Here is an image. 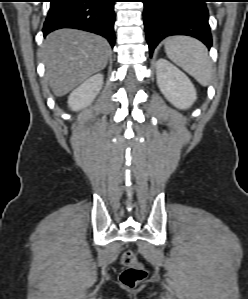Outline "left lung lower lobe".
<instances>
[{"mask_svg":"<svg viewBox=\"0 0 248 299\" xmlns=\"http://www.w3.org/2000/svg\"><path fill=\"white\" fill-rule=\"evenodd\" d=\"M150 54L170 35H188L212 45L207 0H142Z\"/></svg>","mask_w":248,"mask_h":299,"instance_id":"left-lung-lower-lobe-1","label":"left lung lower lobe"}]
</instances>
